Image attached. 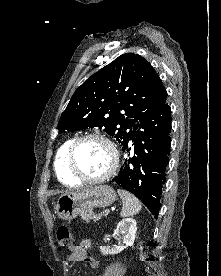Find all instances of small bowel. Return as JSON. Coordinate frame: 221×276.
Returning a JSON list of instances; mask_svg holds the SVG:
<instances>
[{"label":"small bowel","mask_w":221,"mask_h":276,"mask_svg":"<svg viewBox=\"0 0 221 276\" xmlns=\"http://www.w3.org/2000/svg\"><path fill=\"white\" fill-rule=\"evenodd\" d=\"M91 246L90 240H83L78 245L71 248V254L68 261L70 263H76L79 261L87 262L92 268L98 266V261L87 255V249Z\"/></svg>","instance_id":"1"}]
</instances>
